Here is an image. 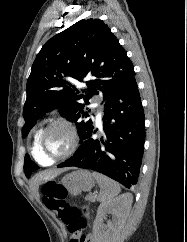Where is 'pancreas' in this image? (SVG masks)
<instances>
[{
	"instance_id": "1",
	"label": "pancreas",
	"mask_w": 187,
	"mask_h": 242,
	"mask_svg": "<svg viewBox=\"0 0 187 242\" xmlns=\"http://www.w3.org/2000/svg\"><path fill=\"white\" fill-rule=\"evenodd\" d=\"M86 199L90 202H95L96 197L94 195H87Z\"/></svg>"
}]
</instances>
